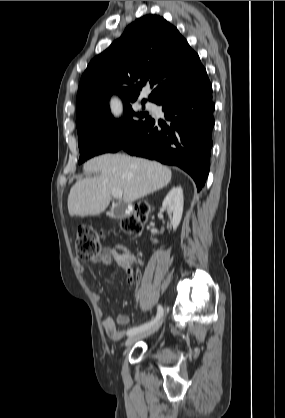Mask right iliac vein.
I'll return each mask as SVG.
<instances>
[{
	"label": "right iliac vein",
	"instance_id": "63e3f726",
	"mask_svg": "<svg viewBox=\"0 0 285 418\" xmlns=\"http://www.w3.org/2000/svg\"><path fill=\"white\" fill-rule=\"evenodd\" d=\"M162 319L157 321L153 326H151L150 328H148L147 330L141 331V332H137L134 333L132 335H130L127 340H126V346H131L132 344H134L135 342H137L140 339L146 338L152 334H154L162 325Z\"/></svg>",
	"mask_w": 285,
	"mask_h": 418
}]
</instances>
